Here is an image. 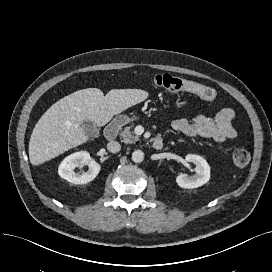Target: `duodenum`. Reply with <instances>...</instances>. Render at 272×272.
Segmentation results:
<instances>
[{"instance_id": "1", "label": "duodenum", "mask_w": 272, "mask_h": 272, "mask_svg": "<svg viewBox=\"0 0 272 272\" xmlns=\"http://www.w3.org/2000/svg\"><path fill=\"white\" fill-rule=\"evenodd\" d=\"M122 125L121 119H116L111 121L105 129V137L108 141H113L116 139L119 129ZM152 146L156 150L163 148V140L161 137H157L153 140Z\"/></svg>"}]
</instances>
